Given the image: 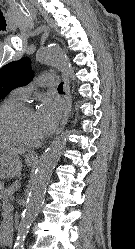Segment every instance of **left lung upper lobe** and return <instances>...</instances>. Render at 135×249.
Here are the masks:
<instances>
[{
  "label": "left lung upper lobe",
  "instance_id": "1",
  "mask_svg": "<svg viewBox=\"0 0 135 249\" xmlns=\"http://www.w3.org/2000/svg\"><path fill=\"white\" fill-rule=\"evenodd\" d=\"M30 59L23 57L0 69V100L17 87L27 85L33 78Z\"/></svg>",
  "mask_w": 135,
  "mask_h": 249
}]
</instances>
